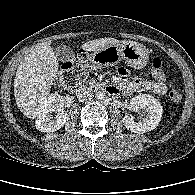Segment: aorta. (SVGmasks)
Here are the masks:
<instances>
[{
	"label": "aorta",
	"mask_w": 195,
	"mask_h": 195,
	"mask_svg": "<svg viewBox=\"0 0 195 195\" xmlns=\"http://www.w3.org/2000/svg\"><path fill=\"white\" fill-rule=\"evenodd\" d=\"M96 99L103 100L106 97V93L103 90H99L95 94Z\"/></svg>",
	"instance_id": "1"
}]
</instances>
